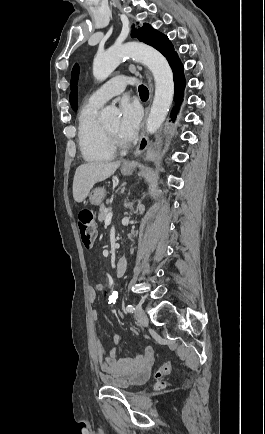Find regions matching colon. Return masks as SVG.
Listing matches in <instances>:
<instances>
[{
	"label": "colon",
	"instance_id": "1",
	"mask_svg": "<svg viewBox=\"0 0 265 434\" xmlns=\"http://www.w3.org/2000/svg\"><path fill=\"white\" fill-rule=\"evenodd\" d=\"M77 224L84 248H92L95 244V239L97 236V228L93 212L90 210H83L82 212L78 213ZM171 370L172 363L167 361L155 370L154 377L155 379H160L161 377L169 374ZM163 387V383H158L156 385L157 389H162Z\"/></svg>",
	"mask_w": 265,
	"mask_h": 434
}]
</instances>
